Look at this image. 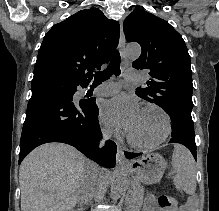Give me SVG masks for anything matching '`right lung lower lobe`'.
<instances>
[{
	"mask_svg": "<svg viewBox=\"0 0 219 211\" xmlns=\"http://www.w3.org/2000/svg\"><path fill=\"white\" fill-rule=\"evenodd\" d=\"M87 85H37L32 87L23 125L19 163L35 147L48 142L74 146L105 167H114L117 146L107 141L98 149L101 131L94 100H76V87Z\"/></svg>",
	"mask_w": 219,
	"mask_h": 211,
	"instance_id": "right-lung-lower-lobe-1",
	"label": "right lung lower lobe"
}]
</instances>
